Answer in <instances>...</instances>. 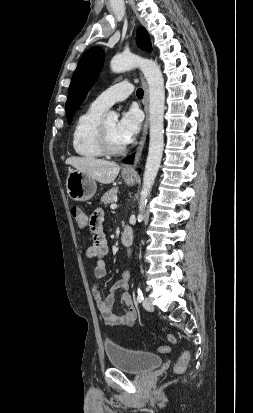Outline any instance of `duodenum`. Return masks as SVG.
Returning a JSON list of instances; mask_svg holds the SVG:
<instances>
[{"label":"duodenum","mask_w":253,"mask_h":413,"mask_svg":"<svg viewBox=\"0 0 253 413\" xmlns=\"http://www.w3.org/2000/svg\"><path fill=\"white\" fill-rule=\"evenodd\" d=\"M133 232L130 227L126 226L122 232L121 241L124 247L129 248L132 244Z\"/></svg>","instance_id":"410a0bca"}]
</instances>
